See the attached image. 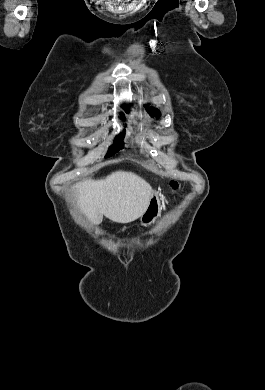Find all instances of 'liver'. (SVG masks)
I'll use <instances>...</instances> for the list:
<instances>
[{"instance_id":"1","label":"liver","mask_w":265,"mask_h":390,"mask_svg":"<svg viewBox=\"0 0 265 390\" xmlns=\"http://www.w3.org/2000/svg\"><path fill=\"white\" fill-rule=\"evenodd\" d=\"M77 206L94 224L103 215L117 223L140 218L149 204L152 187L132 172L116 171L100 180H84L73 186Z\"/></svg>"}]
</instances>
